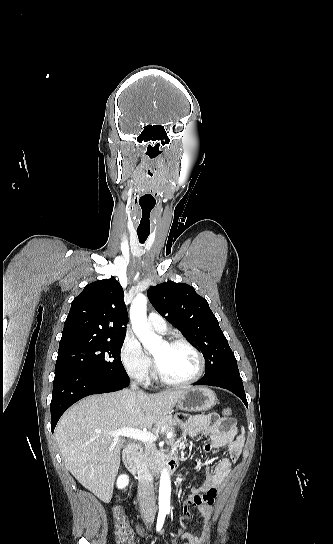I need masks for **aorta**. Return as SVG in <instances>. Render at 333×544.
Returning <instances> with one entry per match:
<instances>
[{"mask_svg":"<svg viewBox=\"0 0 333 544\" xmlns=\"http://www.w3.org/2000/svg\"><path fill=\"white\" fill-rule=\"evenodd\" d=\"M147 297L143 294H138L133 300L130 307V320L133 330L140 339L144 347L153 351L162 345V338L155 334L147 323ZM171 496V481L167 470H163L160 476L159 485V507L170 508Z\"/></svg>","mask_w":333,"mask_h":544,"instance_id":"aorta-1","label":"aorta"}]
</instances>
